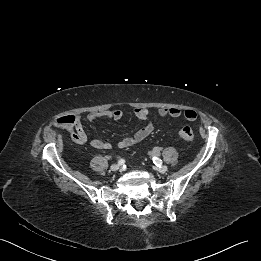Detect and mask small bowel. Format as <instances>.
Segmentation results:
<instances>
[{
	"instance_id": "small-bowel-1",
	"label": "small bowel",
	"mask_w": 261,
	"mask_h": 261,
	"mask_svg": "<svg viewBox=\"0 0 261 261\" xmlns=\"http://www.w3.org/2000/svg\"><path fill=\"white\" fill-rule=\"evenodd\" d=\"M134 116L142 121H146V124L136 131L132 136L125 137L121 139L117 146L121 149H125L133 146L136 143H139L149 137L154 131V125L149 120V110L146 108H136L134 110ZM159 115L162 117H171L177 118L183 115L188 121H194L197 119V113L193 109L181 110L177 107H164L159 109ZM123 117V112L120 109L114 110H104L90 112L86 116L88 122H94L100 119H108L113 121H119ZM73 125L66 127L67 132L69 133L71 139L77 144H84L87 142L88 137L84 130L82 118L80 116H74ZM91 146L98 150H109L111 144L109 142L103 141L101 139L95 138L90 142ZM157 153V151L155 152Z\"/></svg>"
}]
</instances>
